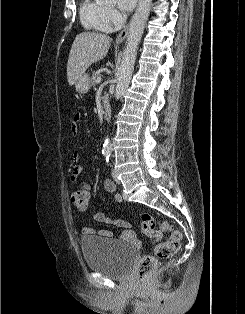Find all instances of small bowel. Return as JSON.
Listing matches in <instances>:
<instances>
[{"mask_svg": "<svg viewBox=\"0 0 245 314\" xmlns=\"http://www.w3.org/2000/svg\"><path fill=\"white\" fill-rule=\"evenodd\" d=\"M81 116L79 113H77L74 116L73 122L71 124V132L75 135L78 132V122L80 121ZM71 174H70V180L74 184H79L83 190H86L89 194L91 193L92 186L85 181L80 180V152L75 150L72 154V160H71ZM104 189L107 192L110 193H115L114 197L117 202H122L123 198L119 193H116V185L114 182L111 180H105L103 182ZM92 219L95 222L98 223H105V224H112L117 227L123 228L119 238L121 241L132 244V245H138L139 244V239L137 238L135 232L130 229V224L128 221L124 219H112L107 217L104 213L102 212H97L92 215ZM95 230L89 226H86L83 228V234L84 235H92L95 234ZM98 235L103 236V237H108L112 238L113 233L108 230H100L97 232Z\"/></svg>", "mask_w": 245, "mask_h": 314, "instance_id": "c3829d8e", "label": "small bowel"}]
</instances>
